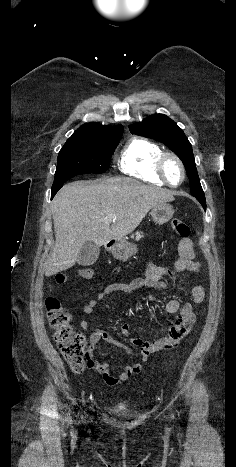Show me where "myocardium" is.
Instances as JSON below:
<instances>
[{"instance_id": "f54148a6", "label": "myocardium", "mask_w": 236, "mask_h": 467, "mask_svg": "<svg viewBox=\"0 0 236 467\" xmlns=\"http://www.w3.org/2000/svg\"><path fill=\"white\" fill-rule=\"evenodd\" d=\"M168 159H173L174 161H176L181 169L182 178H181V181L177 184H172L171 182H169L167 178L166 171H165V165ZM156 172L158 176L164 181V183L170 187L180 186L186 178V169H185L184 163L175 153H172V152H163L159 156L157 163H156Z\"/></svg>"}]
</instances>
